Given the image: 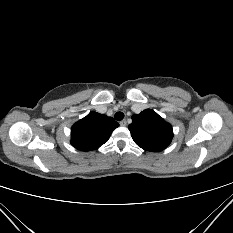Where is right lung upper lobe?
Listing matches in <instances>:
<instances>
[{
    "mask_svg": "<svg viewBox=\"0 0 233 233\" xmlns=\"http://www.w3.org/2000/svg\"><path fill=\"white\" fill-rule=\"evenodd\" d=\"M118 126L112 117L92 111L72 126L71 144L81 151L95 150L108 141Z\"/></svg>",
    "mask_w": 233,
    "mask_h": 233,
    "instance_id": "1",
    "label": "right lung upper lobe"
}]
</instances>
